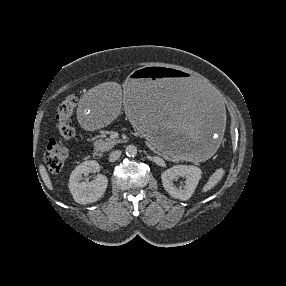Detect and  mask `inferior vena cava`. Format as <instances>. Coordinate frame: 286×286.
Returning <instances> with one entry per match:
<instances>
[{"instance_id": "obj_1", "label": "inferior vena cava", "mask_w": 286, "mask_h": 286, "mask_svg": "<svg viewBox=\"0 0 286 286\" xmlns=\"http://www.w3.org/2000/svg\"><path fill=\"white\" fill-rule=\"evenodd\" d=\"M121 155V151L120 150H116L110 153L109 155V161L110 162H114L116 161Z\"/></svg>"}]
</instances>
